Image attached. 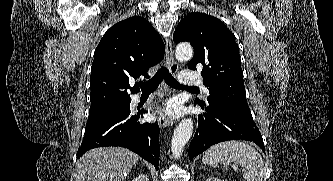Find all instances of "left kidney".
I'll use <instances>...</instances> for the list:
<instances>
[{
	"label": "left kidney",
	"mask_w": 333,
	"mask_h": 181,
	"mask_svg": "<svg viewBox=\"0 0 333 181\" xmlns=\"http://www.w3.org/2000/svg\"><path fill=\"white\" fill-rule=\"evenodd\" d=\"M206 181H224V180H221L220 178H216V177H209V178H207Z\"/></svg>",
	"instance_id": "5707ae66"
}]
</instances>
